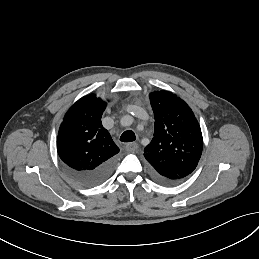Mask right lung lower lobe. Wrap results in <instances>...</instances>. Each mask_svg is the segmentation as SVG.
Returning a JSON list of instances; mask_svg holds the SVG:
<instances>
[{"label": "right lung lower lobe", "mask_w": 259, "mask_h": 259, "mask_svg": "<svg viewBox=\"0 0 259 259\" xmlns=\"http://www.w3.org/2000/svg\"><path fill=\"white\" fill-rule=\"evenodd\" d=\"M116 164L115 157L91 170L77 171L66 167L69 176L83 186H95L105 181L112 173Z\"/></svg>", "instance_id": "98d812e1"}]
</instances>
